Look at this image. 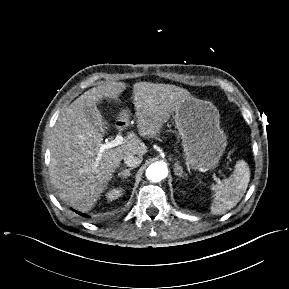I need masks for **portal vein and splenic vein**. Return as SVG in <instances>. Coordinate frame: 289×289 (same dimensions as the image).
Masks as SVG:
<instances>
[{"label":"portal vein and splenic vein","mask_w":289,"mask_h":289,"mask_svg":"<svg viewBox=\"0 0 289 289\" xmlns=\"http://www.w3.org/2000/svg\"><path fill=\"white\" fill-rule=\"evenodd\" d=\"M125 141V138L122 137L121 134H117L116 138L114 140H111L109 142H106L105 144H102L101 147H100V152H103L105 149H110V148H113V147H116L118 145H122ZM99 159V158H98ZM215 181L217 183H220V179L219 178H215Z\"/></svg>","instance_id":"portal-vein-and-splenic-vein-1"}]
</instances>
